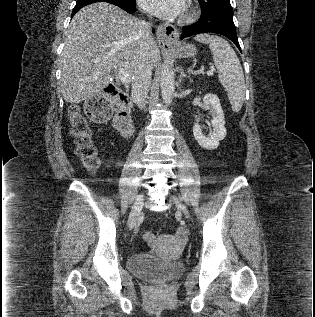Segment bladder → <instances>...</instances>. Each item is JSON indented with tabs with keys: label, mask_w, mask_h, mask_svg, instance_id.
<instances>
[{
	"label": "bladder",
	"mask_w": 315,
	"mask_h": 317,
	"mask_svg": "<svg viewBox=\"0 0 315 317\" xmlns=\"http://www.w3.org/2000/svg\"><path fill=\"white\" fill-rule=\"evenodd\" d=\"M131 272L147 280H172L185 269L182 261H166L150 254L136 253L128 258Z\"/></svg>",
	"instance_id": "1"
}]
</instances>
